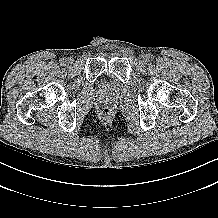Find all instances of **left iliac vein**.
Segmentation results:
<instances>
[{"label": "left iliac vein", "mask_w": 218, "mask_h": 218, "mask_svg": "<svg viewBox=\"0 0 218 218\" xmlns=\"http://www.w3.org/2000/svg\"><path fill=\"white\" fill-rule=\"evenodd\" d=\"M140 61H141L142 64H145L148 61V55L142 54L140 56Z\"/></svg>", "instance_id": "4c4485c4"}]
</instances>
